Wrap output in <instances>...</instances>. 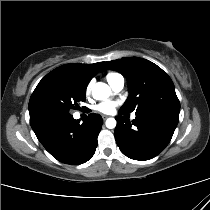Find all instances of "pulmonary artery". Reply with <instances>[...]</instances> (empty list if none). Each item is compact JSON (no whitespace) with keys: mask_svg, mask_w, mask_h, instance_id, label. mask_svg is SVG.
<instances>
[{"mask_svg":"<svg viewBox=\"0 0 210 210\" xmlns=\"http://www.w3.org/2000/svg\"><path fill=\"white\" fill-rule=\"evenodd\" d=\"M109 84H110V86L112 87V89L114 91L119 92V91H121L123 89L125 81H124V78L121 75H119L116 78H114L112 80V82L109 83ZM135 117H136V115L133 114L132 118L134 119Z\"/></svg>","mask_w":210,"mask_h":210,"instance_id":"e3ab8cb5","label":"pulmonary artery"}]
</instances>
